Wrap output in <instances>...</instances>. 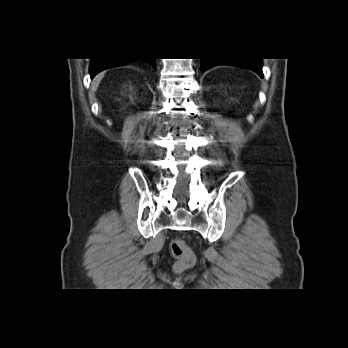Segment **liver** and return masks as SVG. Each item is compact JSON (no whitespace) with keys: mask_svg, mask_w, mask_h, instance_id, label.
Wrapping results in <instances>:
<instances>
[{"mask_svg":"<svg viewBox=\"0 0 348 348\" xmlns=\"http://www.w3.org/2000/svg\"><path fill=\"white\" fill-rule=\"evenodd\" d=\"M104 74H105V72H102V73L98 74V75L94 78V80H93V82H92V86H91L92 91H96V89L98 88V86H99V84H100V81H101V80L103 79V77H104Z\"/></svg>","mask_w":348,"mask_h":348,"instance_id":"liver-1","label":"liver"}]
</instances>
